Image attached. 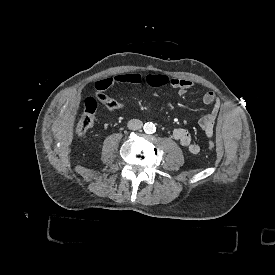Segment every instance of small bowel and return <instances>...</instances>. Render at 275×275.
<instances>
[{"mask_svg": "<svg viewBox=\"0 0 275 275\" xmlns=\"http://www.w3.org/2000/svg\"><path fill=\"white\" fill-rule=\"evenodd\" d=\"M141 85L146 84L152 88H160L167 85L178 90L179 95L186 94L192 87L193 82L187 79L170 78L164 73H151L143 77L139 73L130 72L118 74L112 78L101 81L98 89L105 90L116 85ZM205 105L212 106V109L199 120V127L207 137H212L214 127L220 111V101L218 96L211 91L205 92L202 96ZM173 138L185 147L191 154L197 155L200 146L192 139L190 132L184 128H176L172 133Z\"/></svg>", "mask_w": 275, "mask_h": 275, "instance_id": "c3829d8e", "label": "small bowel"}]
</instances>
